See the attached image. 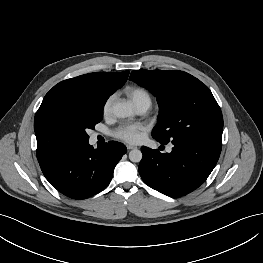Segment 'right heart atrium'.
Returning <instances> with one entry per match:
<instances>
[{
	"label": "right heart atrium",
	"mask_w": 263,
	"mask_h": 263,
	"mask_svg": "<svg viewBox=\"0 0 263 263\" xmlns=\"http://www.w3.org/2000/svg\"><path fill=\"white\" fill-rule=\"evenodd\" d=\"M113 102H114L113 95L107 97L106 100L104 101L103 106H102V113L104 116L107 117L112 113Z\"/></svg>",
	"instance_id": "d8ad5b80"
}]
</instances>
